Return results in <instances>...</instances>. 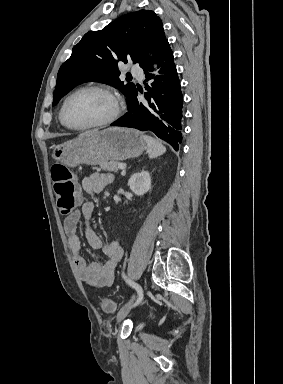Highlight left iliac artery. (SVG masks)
Listing matches in <instances>:
<instances>
[{
    "mask_svg": "<svg viewBox=\"0 0 283 384\" xmlns=\"http://www.w3.org/2000/svg\"><path fill=\"white\" fill-rule=\"evenodd\" d=\"M122 276H123L124 280H125L131 287H133V288L137 291L138 298H137V301L134 303L133 306L138 305V304L142 301V299H143V290H142V287H141L139 284H137V283L131 281L129 278H127V276L125 275L124 272L122 273Z\"/></svg>",
    "mask_w": 283,
    "mask_h": 384,
    "instance_id": "obj_1",
    "label": "left iliac artery"
}]
</instances>
